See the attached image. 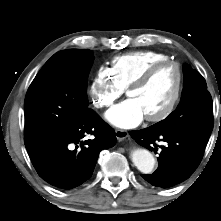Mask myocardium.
<instances>
[{
	"mask_svg": "<svg viewBox=\"0 0 221 221\" xmlns=\"http://www.w3.org/2000/svg\"><path fill=\"white\" fill-rule=\"evenodd\" d=\"M166 66H173L177 73V84L174 95L165 109L155 115L146 116L149 122H160L168 118L176 109L183 92L184 72L179 62L168 59L163 60L149 66L132 84L127 88V95L130 91L146 86L152 77Z\"/></svg>",
	"mask_w": 221,
	"mask_h": 221,
	"instance_id": "myocardium-1",
	"label": "myocardium"
}]
</instances>
